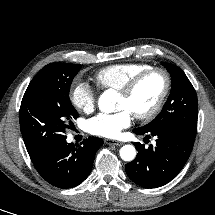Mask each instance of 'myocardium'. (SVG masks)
Instances as JSON below:
<instances>
[{
  "instance_id": "f54148a6",
  "label": "myocardium",
  "mask_w": 215,
  "mask_h": 215,
  "mask_svg": "<svg viewBox=\"0 0 215 215\" xmlns=\"http://www.w3.org/2000/svg\"><path fill=\"white\" fill-rule=\"evenodd\" d=\"M160 74L163 77L164 80V86L162 89V92L158 98V100L156 101V103L154 104V106L148 110L147 112L144 113H140V114H134L135 118L140 120V121H150L152 119H154L162 110L166 99L170 93L171 90V77L169 72L161 67H150L144 71H142L141 73L137 74L136 76H134L131 80H129L120 90L119 93L120 95L124 96V97H130L135 90L137 89V87L150 75L152 74Z\"/></svg>"
}]
</instances>
